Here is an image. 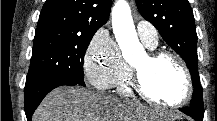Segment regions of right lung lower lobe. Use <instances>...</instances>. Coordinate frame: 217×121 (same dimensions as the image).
I'll return each instance as SVG.
<instances>
[{
    "mask_svg": "<svg viewBox=\"0 0 217 121\" xmlns=\"http://www.w3.org/2000/svg\"><path fill=\"white\" fill-rule=\"evenodd\" d=\"M63 85H80L74 79L62 76H48L44 77L36 82H33L27 86H25L24 98H25V114L27 121H30L32 115L43 98L48 94L51 90L58 86Z\"/></svg>",
    "mask_w": 217,
    "mask_h": 121,
    "instance_id": "98d812e1",
    "label": "right lung lower lobe"
}]
</instances>
